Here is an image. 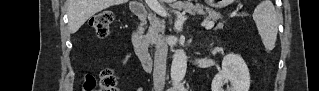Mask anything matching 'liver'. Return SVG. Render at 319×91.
<instances>
[{"label": "liver", "mask_w": 319, "mask_h": 91, "mask_svg": "<svg viewBox=\"0 0 319 91\" xmlns=\"http://www.w3.org/2000/svg\"><path fill=\"white\" fill-rule=\"evenodd\" d=\"M128 0H68L69 28L75 33L90 17L114 5ZM172 3L174 0H163Z\"/></svg>", "instance_id": "6515ba94"}]
</instances>
